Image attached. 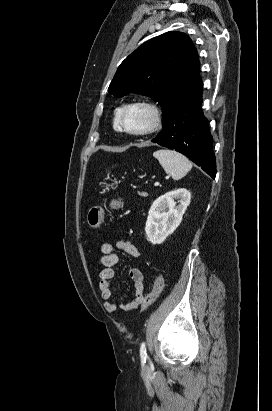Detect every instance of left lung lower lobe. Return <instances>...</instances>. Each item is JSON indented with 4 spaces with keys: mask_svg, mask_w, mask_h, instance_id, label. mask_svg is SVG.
I'll return each mask as SVG.
<instances>
[{
    "mask_svg": "<svg viewBox=\"0 0 272 411\" xmlns=\"http://www.w3.org/2000/svg\"><path fill=\"white\" fill-rule=\"evenodd\" d=\"M201 96L202 88L176 110L152 142L184 154L214 179L212 135L202 112Z\"/></svg>",
    "mask_w": 272,
    "mask_h": 411,
    "instance_id": "obj_1",
    "label": "left lung lower lobe"
}]
</instances>
